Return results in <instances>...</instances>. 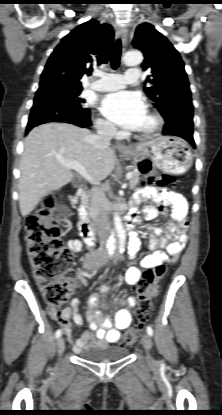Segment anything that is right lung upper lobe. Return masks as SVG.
Instances as JSON below:
<instances>
[{"mask_svg":"<svg viewBox=\"0 0 222 415\" xmlns=\"http://www.w3.org/2000/svg\"><path fill=\"white\" fill-rule=\"evenodd\" d=\"M114 32L110 25L89 20L66 35L50 55L41 81L52 78L81 86V78L94 66L107 63Z\"/></svg>","mask_w":222,"mask_h":415,"instance_id":"cb5924a9","label":"right lung upper lobe"}]
</instances>
